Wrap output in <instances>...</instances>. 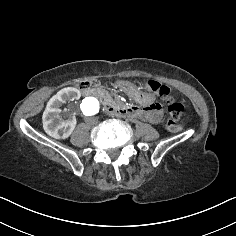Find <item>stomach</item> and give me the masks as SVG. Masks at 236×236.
I'll use <instances>...</instances> for the list:
<instances>
[{"mask_svg":"<svg viewBox=\"0 0 236 236\" xmlns=\"http://www.w3.org/2000/svg\"><path fill=\"white\" fill-rule=\"evenodd\" d=\"M117 89L119 93L139 105L148 106L154 100V93L151 90H142L135 80L119 79L117 81Z\"/></svg>","mask_w":236,"mask_h":236,"instance_id":"obj_1","label":"stomach"}]
</instances>
